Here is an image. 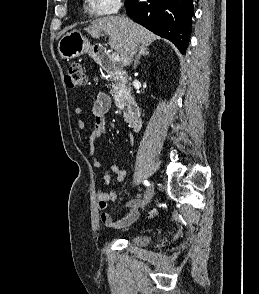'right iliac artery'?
I'll return each mask as SVG.
<instances>
[{"instance_id": "obj_1", "label": "right iliac artery", "mask_w": 259, "mask_h": 294, "mask_svg": "<svg viewBox=\"0 0 259 294\" xmlns=\"http://www.w3.org/2000/svg\"><path fill=\"white\" fill-rule=\"evenodd\" d=\"M144 184L147 185V186L150 185L149 182H148L147 180L144 181Z\"/></svg>"}]
</instances>
